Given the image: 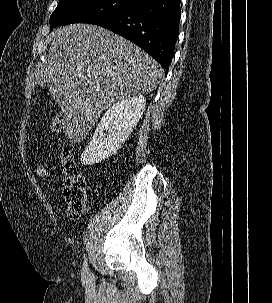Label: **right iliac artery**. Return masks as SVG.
<instances>
[{
    "mask_svg": "<svg viewBox=\"0 0 272 303\" xmlns=\"http://www.w3.org/2000/svg\"><path fill=\"white\" fill-rule=\"evenodd\" d=\"M82 274L83 275L88 274V265H87V259L86 258H85L84 263H83Z\"/></svg>",
    "mask_w": 272,
    "mask_h": 303,
    "instance_id": "82829eb1",
    "label": "right iliac artery"
}]
</instances>
